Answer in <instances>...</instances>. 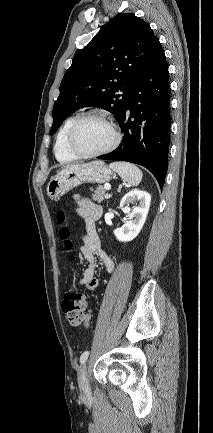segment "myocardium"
Wrapping results in <instances>:
<instances>
[{"mask_svg": "<svg viewBox=\"0 0 213 433\" xmlns=\"http://www.w3.org/2000/svg\"><path fill=\"white\" fill-rule=\"evenodd\" d=\"M89 119H97L103 121L105 124H107L110 127L113 133V141L111 142V144L107 148L93 153L82 152L76 145L77 131L79 127L82 125V123ZM120 141H121V133L118 130L116 124L105 114L100 112H94V111L85 113L80 117H78L73 123V125L71 126L68 133V147L70 151L78 158H84V159L95 158V157L106 155L112 152L114 149H116Z\"/></svg>", "mask_w": 213, "mask_h": 433, "instance_id": "f54148a6", "label": "myocardium"}]
</instances>
